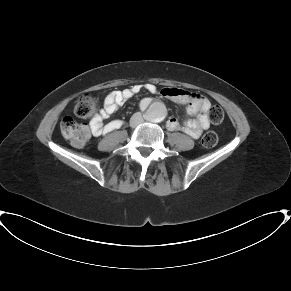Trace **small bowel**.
Instances as JSON below:
<instances>
[{
    "mask_svg": "<svg viewBox=\"0 0 291 291\" xmlns=\"http://www.w3.org/2000/svg\"><path fill=\"white\" fill-rule=\"evenodd\" d=\"M142 90L150 93H157L160 96L179 103L187 104L186 113L189 118L182 124L174 117L167 120L166 126L170 131H182L194 139H198L202 133L210 127L208 110L210 103L206 97L197 93H190L185 90L175 88H158L154 83L137 84L122 91H112L105 96L103 109L90 122L92 132L95 136L108 134L121 127L120 121H111L103 123L110 115L115 113L119 107L138 94ZM150 101L144 99L140 107L145 109L149 106Z\"/></svg>",
    "mask_w": 291,
    "mask_h": 291,
    "instance_id": "obj_1",
    "label": "small bowel"
}]
</instances>
